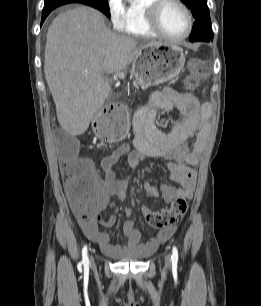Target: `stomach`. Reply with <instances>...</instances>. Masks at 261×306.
Returning <instances> with one entry per match:
<instances>
[{
    "instance_id": "obj_1",
    "label": "stomach",
    "mask_w": 261,
    "mask_h": 306,
    "mask_svg": "<svg viewBox=\"0 0 261 306\" xmlns=\"http://www.w3.org/2000/svg\"><path fill=\"white\" fill-rule=\"evenodd\" d=\"M185 64L183 49L172 43H157L139 52L133 61V69L139 85L146 89L172 80L179 75ZM96 117L93 129L100 135ZM129 118L127 117V124Z\"/></svg>"
}]
</instances>
